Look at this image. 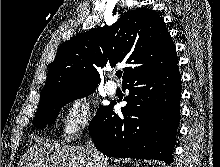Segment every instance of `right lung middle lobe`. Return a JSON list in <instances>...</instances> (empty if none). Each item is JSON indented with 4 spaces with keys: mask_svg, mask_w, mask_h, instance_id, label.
<instances>
[{
    "mask_svg": "<svg viewBox=\"0 0 220 167\" xmlns=\"http://www.w3.org/2000/svg\"><path fill=\"white\" fill-rule=\"evenodd\" d=\"M95 87L96 86L63 90L40 101L34 119V126L37 128H42L45 127L47 124H53L62 106L70 101L85 97L93 93L95 91ZM103 108L104 106H99L98 113ZM94 119L91 121V123L94 121Z\"/></svg>",
    "mask_w": 220,
    "mask_h": 167,
    "instance_id": "dd1d6c3e",
    "label": "right lung middle lobe"
}]
</instances>
